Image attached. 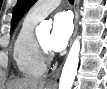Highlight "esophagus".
<instances>
[{"mask_svg":"<svg viewBox=\"0 0 107 89\" xmlns=\"http://www.w3.org/2000/svg\"><path fill=\"white\" fill-rule=\"evenodd\" d=\"M78 6H79V0H75V2H74V34H73V37L71 39L70 45L72 44L73 39H74V37L76 35V32H77ZM59 72H60V68L58 69L56 75H58ZM49 84L54 85L55 84V80H50Z\"/></svg>","mask_w":107,"mask_h":89,"instance_id":"obj_1","label":"esophagus"}]
</instances>
